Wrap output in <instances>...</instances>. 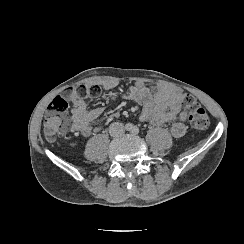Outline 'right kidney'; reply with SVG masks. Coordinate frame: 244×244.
<instances>
[{"label":"right kidney","instance_id":"right-kidney-1","mask_svg":"<svg viewBox=\"0 0 244 244\" xmlns=\"http://www.w3.org/2000/svg\"><path fill=\"white\" fill-rule=\"evenodd\" d=\"M70 145L74 147L76 145V143H71Z\"/></svg>","mask_w":244,"mask_h":244}]
</instances>
